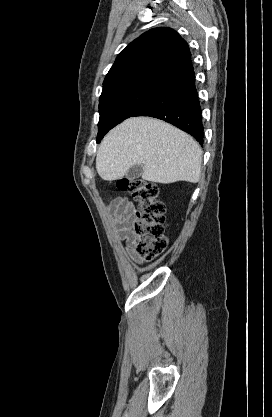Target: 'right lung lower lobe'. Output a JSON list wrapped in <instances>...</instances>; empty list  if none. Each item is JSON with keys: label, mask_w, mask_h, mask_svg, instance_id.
<instances>
[{"label": "right lung lower lobe", "mask_w": 272, "mask_h": 417, "mask_svg": "<svg viewBox=\"0 0 272 417\" xmlns=\"http://www.w3.org/2000/svg\"><path fill=\"white\" fill-rule=\"evenodd\" d=\"M134 116H150L169 122L203 144V125L192 63L169 78Z\"/></svg>", "instance_id": "98d812e1"}]
</instances>
